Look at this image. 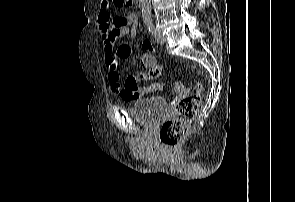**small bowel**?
Masks as SVG:
<instances>
[{
	"mask_svg": "<svg viewBox=\"0 0 295 202\" xmlns=\"http://www.w3.org/2000/svg\"><path fill=\"white\" fill-rule=\"evenodd\" d=\"M136 24L137 15L135 13H131L124 17L114 16L109 0H101L98 26L105 53L107 78L109 80L111 91L125 101L139 100L140 98L156 91L143 90V86H138V90H125L120 84V60L127 59L130 56L131 48L126 44H121L115 48V44L116 41L121 38L134 39L136 36ZM142 47L145 50H151L152 44L150 41H144ZM131 77L133 79H139L140 82L149 79H158V74L135 75ZM180 98H190V89H181ZM180 98H173V102H170V107H179Z\"/></svg>",
	"mask_w": 295,
	"mask_h": 202,
	"instance_id": "c3829d8e",
	"label": "small bowel"
}]
</instances>
